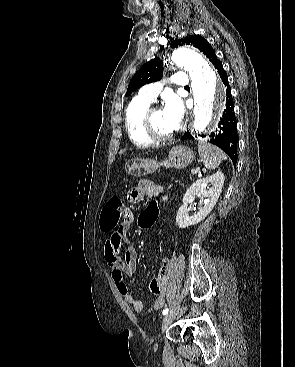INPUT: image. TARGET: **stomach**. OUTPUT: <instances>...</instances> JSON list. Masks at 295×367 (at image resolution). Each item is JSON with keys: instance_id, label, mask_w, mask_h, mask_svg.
Here are the masks:
<instances>
[{"instance_id": "1", "label": "stomach", "mask_w": 295, "mask_h": 367, "mask_svg": "<svg viewBox=\"0 0 295 367\" xmlns=\"http://www.w3.org/2000/svg\"><path fill=\"white\" fill-rule=\"evenodd\" d=\"M193 151L183 145L173 147L168 157L161 162L152 159H138L128 163L125 167L126 172L135 177H141L160 170L161 167L183 169L194 160Z\"/></svg>"}]
</instances>
